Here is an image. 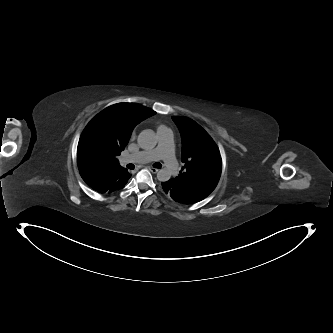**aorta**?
<instances>
[{
	"mask_svg": "<svg viewBox=\"0 0 333 333\" xmlns=\"http://www.w3.org/2000/svg\"><path fill=\"white\" fill-rule=\"evenodd\" d=\"M138 144L142 149L149 150L156 146L157 138L153 130L147 129L143 130L138 136ZM171 178V172L166 169H160L157 173V179L159 181H167Z\"/></svg>",
	"mask_w": 333,
	"mask_h": 333,
	"instance_id": "762f6f07",
	"label": "aorta"
}]
</instances>
